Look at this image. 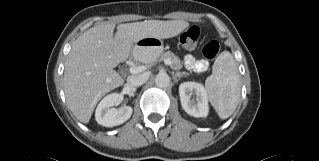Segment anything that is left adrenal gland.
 <instances>
[{
  "instance_id": "left-adrenal-gland-1",
  "label": "left adrenal gland",
  "mask_w": 319,
  "mask_h": 161,
  "mask_svg": "<svg viewBox=\"0 0 319 161\" xmlns=\"http://www.w3.org/2000/svg\"><path fill=\"white\" fill-rule=\"evenodd\" d=\"M183 75H188V73L187 72L174 73V78H181Z\"/></svg>"
}]
</instances>
